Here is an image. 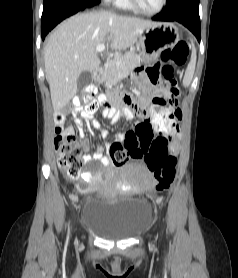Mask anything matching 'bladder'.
Masks as SVG:
<instances>
[{
    "label": "bladder",
    "mask_w": 238,
    "mask_h": 278,
    "mask_svg": "<svg viewBox=\"0 0 238 278\" xmlns=\"http://www.w3.org/2000/svg\"><path fill=\"white\" fill-rule=\"evenodd\" d=\"M84 202L82 226L108 240H125L144 232L152 220V207L144 198L117 196L112 199L91 197Z\"/></svg>",
    "instance_id": "bladder-1"
}]
</instances>
